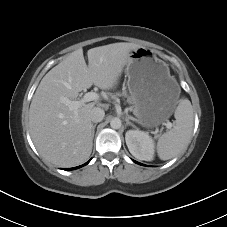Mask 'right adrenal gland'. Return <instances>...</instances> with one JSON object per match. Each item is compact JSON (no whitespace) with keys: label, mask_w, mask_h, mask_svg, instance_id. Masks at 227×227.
<instances>
[{"label":"right adrenal gland","mask_w":227,"mask_h":227,"mask_svg":"<svg viewBox=\"0 0 227 227\" xmlns=\"http://www.w3.org/2000/svg\"><path fill=\"white\" fill-rule=\"evenodd\" d=\"M96 125L97 123L92 125V137H94Z\"/></svg>","instance_id":"right-adrenal-gland-1"}]
</instances>
